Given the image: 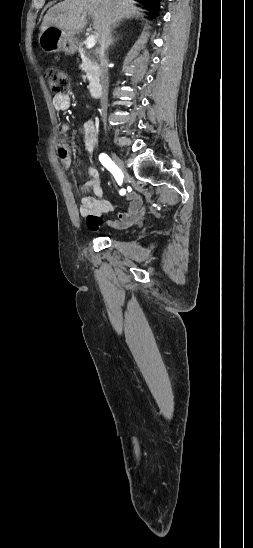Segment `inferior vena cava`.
Instances as JSON below:
<instances>
[{
    "instance_id": "obj_1",
    "label": "inferior vena cava",
    "mask_w": 253,
    "mask_h": 548,
    "mask_svg": "<svg viewBox=\"0 0 253 548\" xmlns=\"http://www.w3.org/2000/svg\"><path fill=\"white\" fill-rule=\"evenodd\" d=\"M110 26H111V18L107 17L106 21L103 23L102 30L99 36V54H100V82L102 86V96L100 99V103L102 106V109L105 111L107 109V92H108V61L105 56L106 51V45L107 40L110 34ZM99 118L101 120V124L104 126L106 123V115L104 113H101L99 115Z\"/></svg>"
}]
</instances>
